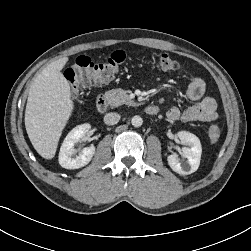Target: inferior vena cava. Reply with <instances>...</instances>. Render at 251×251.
<instances>
[{"label":"inferior vena cava","instance_id":"1","mask_svg":"<svg viewBox=\"0 0 251 251\" xmlns=\"http://www.w3.org/2000/svg\"><path fill=\"white\" fill-rule=\"evenodd\" d=\"M120 118L121 117L118 113L110 112L104 116V122L107 125H115L119 122Z\"/></svg>","mask_w":251,"mask_h":251}]
</instances>
